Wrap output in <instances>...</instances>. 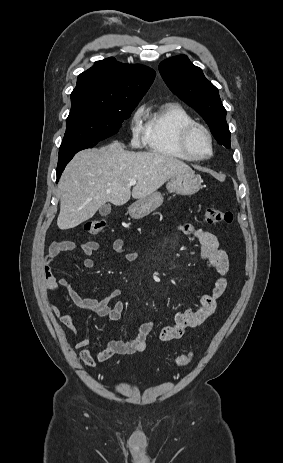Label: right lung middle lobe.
<instances>
[{"label":"right lung middle lobe","mask_w":283,"mask_h":463,"mask_svg":"<svg viewBox=\"0 0 283 463\" xmlns=\"http://www.w3.org/2000/svg\"><path fill=\"white\" fill-rule=\"evenodd\" d=\"M139 102L71 94L61 150L99 142L118 132Z\"/></svg>","instance_id":"obj_1"}]
</instances>
